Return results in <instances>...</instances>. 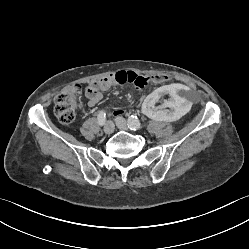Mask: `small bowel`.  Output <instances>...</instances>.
<instances>
[{
  "label": "small bowel",
  "instance_id": "obj_1",
  "mask_svg": "<svg viewBox=\"0 0 249 249\" xmlns=\"http://www.w3.org/2000/svg\"><path fill=\"white\" fill-rule=\"evenodd\" d=\"M136 75L137 74H135L134 72H131V71H127V72L126 71H119L116 73H111L108 76H105L101 79L90 82L85 90V95H86V98L88 100L87 101L88 106L93 107L100 101V99L102 97V94H101L102 91H107V90L111 89L113 86L118 85V84L131 83L132 77H134ZM167 86H169V85H167ZM156 90H154V91H156ZM189 101L191 103V100H189Z\"/></svg>",
  "mask_w": 249,
  "mask_h": 249
}]
</instances>
